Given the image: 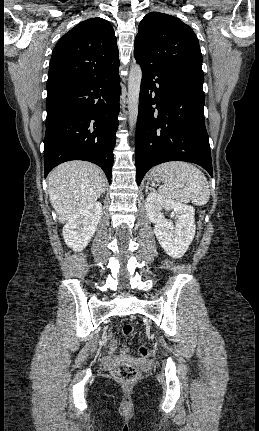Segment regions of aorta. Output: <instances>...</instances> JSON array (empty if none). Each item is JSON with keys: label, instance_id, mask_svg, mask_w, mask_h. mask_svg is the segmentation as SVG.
Listing matches in <instances>:
<instances>
[{"label": "aorta", "instance_id": "aorta-1", "mask_svg": "<svg viewBox=\"0 0 259 431\" xmlns=\"http://www.w3.org/2000/svg\"><path fill=\"white\" fill-rule=\"evenodd\" d=\"M141 79L142 69L139 65H134L130 70L128 80V111L131 129H133L137 121Z\"/></svg>", "mask_w": 259, "mask_h": 431}]
</instances>
